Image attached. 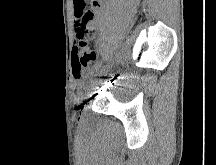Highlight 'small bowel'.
<instances>
[{"instance_id":"1","label":"small bowel","mask_w":216,"mask_h":165,"mask_svg":"<svg viewBox=\"0 0 216 165\" xmlns=\"http://www.w3.org/2000/svg\"><path fill=\"white\" fill-rule=\"evenodd\" d=\"M87 1L90 5H87ZM75 31L84 22V14L92 13V18L86 22L87 29L94 35L100 28L104 11L102 0H73Z\"/></svg>"}]
</instances>
